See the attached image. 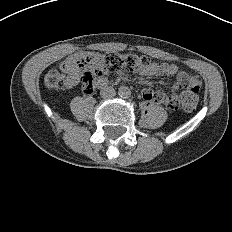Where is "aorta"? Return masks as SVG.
I'll return each instance as SVG.
<instances>
[{
	"label": "aorta",
	"mask_w": 232,
	"mask_h": 232,
	"mask_svg": "<svg viewBox=\"0 0 232 232\" xmlns=\"http://www.w3.org/2000/svg\"><path fill=\"white\" fill-rule=\"evenodd\" d=\"M119 95L122 97H129L131 95V90L128 87H120L119 88Z\"/></svg>",
	"instance_id": "aorta-1"
}]
</instances>
